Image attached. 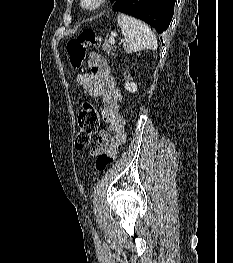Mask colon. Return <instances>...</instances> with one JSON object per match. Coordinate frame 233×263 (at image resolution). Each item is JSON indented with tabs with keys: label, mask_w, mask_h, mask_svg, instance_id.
Segmentation results:
<instances>
[{
	"label": "colon",
	"mask_w": 233,
	"mask_h": 263,
	"mask_svg": "<svg viewBox=\"0 0 233 263\" xmlns=\"http://www.w3.org/2000/svg\"><path fill=\"white\" fill-rule=\"evenodd\" d=\"M99 37L91 30H82L75 38L68 41L66 49L72 67L79 69L83 66L87 48L98 46ZM100 125V114L89 102H84L78 114V131L75 136V147L78 150L87 148L92 136L98 131ZM117 154H101L98 156L95 168L104 171L111 165Z\"/></svg>",
	"instance_id": "obj_1"
}]
</instances>
